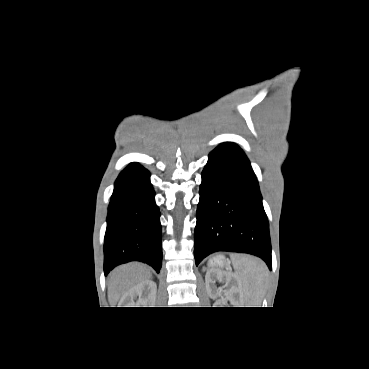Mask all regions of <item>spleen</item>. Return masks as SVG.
Returning <instances> with one entry per match:
<instances>
[{
	"mask_svg": "<svg viewBox=\"0 0 369 369\" xmlns=\"http://www.w3.org/2000/svg\"><path fill=\"white\" fill-rule=\"evenodd\" d=\"M230 257L246 304L250 305L248 307H260L267 282L266 265L248 255L232 254Z\"/></svg>",
	"mask_w": 369,
	"mask_h": 369,
	"instance_id": "1",
	"label": "spleen"
}]
</instances>
